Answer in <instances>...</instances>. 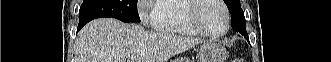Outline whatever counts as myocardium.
<instances>
[{"label": "myocardium", "mask_w": 331, "mask_h": 62, "mask_svg": "<svg viewBox=\"0 0 331 62\" xmlns=\"http://www.w3.org/2000/svg\"><path fill=\"white\" fill-rule=\"evenodd\" d=\"M205 1H214L222 8V11L224 14V19H225V27L222 32L217 33V34L210 33L200 23V21L197 17V12H198V9L202 6V4ZM186 19H187L188 24L195 31H197L200 35L206 36L209 38H214V39L221 38L224 35H226V33L228 32L229 27H230L229 11H228L225 3L221 0H188L187 5H186Z\"/></svg>", "instance_id": "myocardium-1"}]
</instances>
